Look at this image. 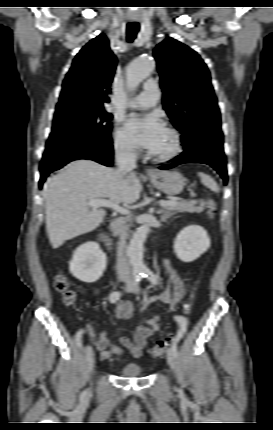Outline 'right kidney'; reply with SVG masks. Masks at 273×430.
<instances>
[{"label": "right kidney", "instance_id": "right-kidney-1", "mask_svg": "<svg viewBox=\"0 0 273 430\" xmlns=\"http://www.w3.org/2000/svg\"><path fill=\"white\" fill-rule=\"evenodd\" d=\"M106 269V255L97 242H87L79 246L69 263L71 274L84 283H94Z\"/></svg>", "mask_w": 273, "mask_h": 430}]
</instances>
